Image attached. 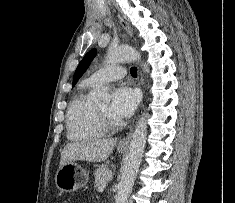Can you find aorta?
Listing matches in <instances>:
<instances>
[{"mask_svg": "<svg viewBox=\"0 0 235 203\" xmlns=\"http://www.w3.org/2000/svg\"><path fill=\"white\" fill-rule=\"evenodd\" d=\"M140 58L141 57L139 53L132 47L111 45L107 52L106 63L117 64L122 62L139 61ZM142 66L144 71L148 73V66L146 64ZM95 98L98 101H107V90L102 88L100 92L95 95ZM146 136L147 122L145 116H142L137 121L132 135L129 152L125 160L122 178L118 185L115 203H127L143 156L146 144Z\"/></svg>", "mask_w": 235, "mask_h": 203, "instance_id": "obj_1", "label": "aorta"}]
</instances>
